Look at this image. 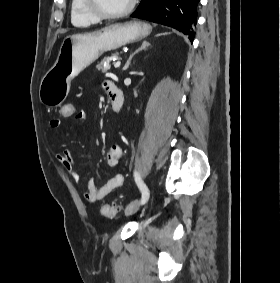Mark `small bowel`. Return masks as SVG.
I'll return each mask as SVG.
<instances>
[{
  "label": "small bowel",
  "mask_w": 280,
  "mask_h": 283,
  "mask_svg": "<svg viewBox=\"0 0 280 283\" xmlns=\"http://www.w3.org/2000/svg\"><path fill=\"white\" fill-rule=\"evenodd\" d=\"M107 91V86L105 85ZM74 119L80 123L87 121V114L85 111L79 110L76 112ZM50 127L57 129L61 125L59 118H52L49 122ZM123 155L122 147L120 145H112L107 154V163L109 166L114 167L121 160ZM57 160L61 163L67 173L75 180L79 181V174L76 171V163L69 150H64L61 153H57ZM124 177L122 174H117L113 178L109 179L105 184L99 185L94 178H90L87 182L86 190L83 195L84 198L90 202L95 203L104 199L107 195L114 192L123 183Z\"/></svg>",
  "instance_id": "1"
}]
</instances>
